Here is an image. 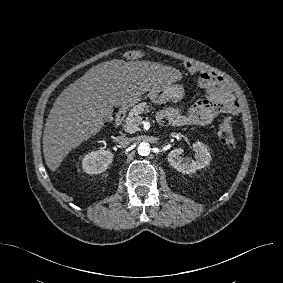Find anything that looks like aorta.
<instances>
[{
	"mask_svg": "<svg viewBox=\"0 0 283 283\" xmlns=\"http://www.w3.org/2000/svg\"><path fill=\"white\" fill-rule=\"evenodd\" d=\"M150 145L149 143L147 142H141L139 145H138V153L139 155L141 156H147L149 155L150 153Z\"/></svg>",
	"mask_w": 283,
	"mask_h": 283,
	"instance_id": "obj_1",
	"label": "aorta"
}]
</instances>
